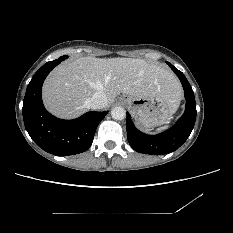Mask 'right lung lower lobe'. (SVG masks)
<instances>
[{
    "label": "right lung lower lobe",
    "instance_id": "1",
    "mask_svg": "<svg viewBox=\"0 0 233 233\" xmlns=\"http://www.w3.org/2000/svg\"><path fill=\"white\" fill-rule=\"evenodd\" d=\"M59 63L47 62L32 77L23 100V119L30 137L40 148L56 156H68L90 148L96 128L108 111L87 112L74 120L58 119L47 112L41 97L42 85Z\"/></svg>",
    "mask_w": 233,
    "mask_h": 233
}]
</instances>
